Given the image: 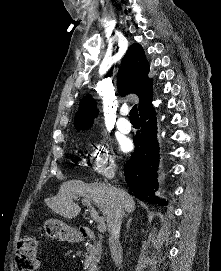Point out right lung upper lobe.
Wrapping results in <instances>:
<instances>
[{"label": "right lung upper lobe", "mask_w": 221, "mask_h": 271, "mask_svg": "<svg viewBox=\"0 0 221 271\" xmlns=\"http://www.w3.org/2000/svg\"><path fill=\"white\" fill-rule=\"evenodd\" d=\"M149 64L143 48L135 43L128 48L123 57L117 76V87L121 96L129 93L138 95L139 112L142 114L152 108V80L148 78ZM96 102L91 96L84 97L80 102L79 111L75 116V127L87 129L97 115Z\"/></svg>", "instance_id": "obj_1"}]
</instances>
